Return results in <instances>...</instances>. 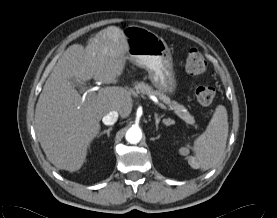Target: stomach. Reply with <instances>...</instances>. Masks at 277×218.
Segmentation results:
<instances>
[{
    "label": "stomach",
    "mask_w": 277,
    "mask_h": 218,
    "mask_svg": "<svg viewBox=\"0 0 277 218\" xmlns=\"http://www.w3.org/2000/svg\"><path fill=\"white\" fill-rule=\"evenodd\" d=\"M131 62L148 72L152 85L163 94H173L177 81L170 49L164 39L145 27L130 25L124 30Z\"/></svg>",
    "instance_id": "obj_1"
}]
</instances>
